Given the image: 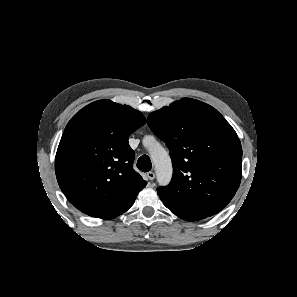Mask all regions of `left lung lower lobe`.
I'll use <instances>...</instances> for the list:
<instances>
[{"mask_svg":"<svg viewBox=\"0 0 297 297\" xmlns=\"http://www.w3.org/2000/svg\"><path fill=\"white\" fill-rule=\"evenodd\" d=\"M162 201H163L164 205L167 207V203L164 200H162ZM173 213H175L178 217H180V218H182V219H184L186 221H194V220H192L190 218H187V217L183 216L182 214H180V213H178L176 211H173Z\"/></svg>","mask_w":297,"mask_h":297,"instance_id":"0a47b994","label":"left lung lower lobe"}]
</instances>
